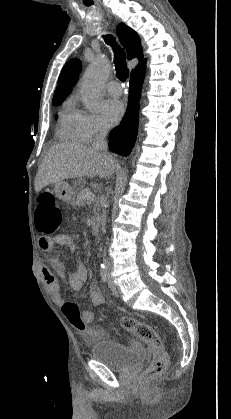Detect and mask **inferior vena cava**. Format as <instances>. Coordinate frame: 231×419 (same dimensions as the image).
<instances>
[{"label": "inferior vena cava", "mask_w": 231, "mask_h": 419, "mask_svg": "<svg viewBox=\"0 0 231 419\" xmlns=\"http://www.w3.org/2000/svg\"><path fill=\"white\" fill-rule=\"evenodd\" d=\"M107 132H108L107 128L102 127L98 131V133L96 134L95 139H94V142L92 144V147L95 150L100 151L103 154L111 157V155L107 153V142L105 140V137L107 135ZM104 262H105L106 265H109V262L107 260H104Z\"/></svg>", "instance_id": "1"}]
</instances>
